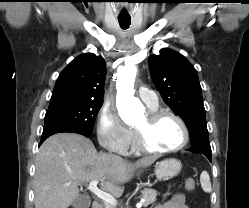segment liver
<instances>
[{
	"label": "liver",
	"instance_id": "1",
	"mask_svg": "<svg viewBox=\"0 0 249 208\" xmlns=\"http://www.w3.org/2000/svg\"><path fill=\"white\" fill-rule=\"evenodd\" d=\"M156 157L132 164L117 155L97 153L92 141L76 133H58L40 147L35 161V208H68L79 196L78 185L100 180L115 197L123 194L119 184L128 182L140 167H149Z\"/></svg>",
	"mask_w": 249,
	"mask_h": 208
}]
</instances>
